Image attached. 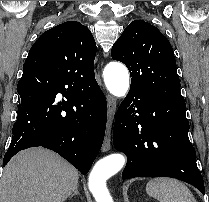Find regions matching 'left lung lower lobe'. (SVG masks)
<instances>
[{"label": "left lung lower lobe", "instance_id": "0a47b994", "mask_svg": "<svg viewBox=\"0 0 209 202\" xmlns=\"http://www.w3.org/2000/svg\"><path fill=\"white\" fill-rule=\"evenodd\" d=\"M188 131L185 102L130 89L118 108L113 130L114 147L127 155L122 178L172 177L205 194Z\"/></svg>", "mask_w": 209, "mask_h": 202}]
</instances>
